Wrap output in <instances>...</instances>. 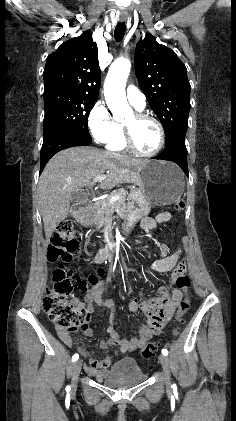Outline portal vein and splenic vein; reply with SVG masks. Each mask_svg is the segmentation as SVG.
Masks as SVG:
<instances>
[{"instance_id":"18ae733b","label":"portal vein and splenic vein","mask_w":236,"mask_h":421,"mask_svg":"<svg viewBox=\"0 0 236 421\" xmlns=\"http://www.w3.org/2000/svg\"><path fill=\"white\" fill-rule=\"evenodd\" d=\"M107 178V174H100V176H94L93 180L94 182H97V180H105ZM120 196L118 194H115V196H112L110 202L112 204V200H119Z\"/></svg>"}]
</instances>
